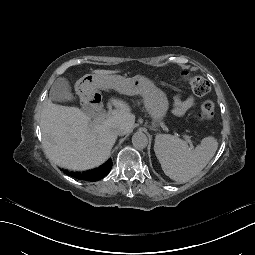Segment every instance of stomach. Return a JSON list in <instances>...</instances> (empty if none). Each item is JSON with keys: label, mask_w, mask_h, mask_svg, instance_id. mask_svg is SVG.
<instances>
[{"label": "stomach", "mask_w": 255, "mask_h": 255, "mask_svg": "<svg viewBox=\"0 0 255 255\" xmlns=\"http://www.w3.org/2000/svg\"><path fill=\"white\" fill-rule=\"evenodd\" d=\"M120 86L121 93L143 96L145 107L154 121L153 127H157L165 114L164 104L169 100L166 92L141 75L122 79Z\"/></svg>", "instance_id": "1"}]
</instances>
